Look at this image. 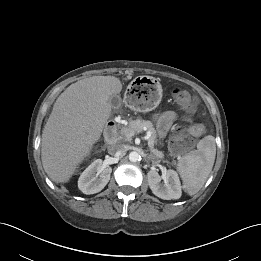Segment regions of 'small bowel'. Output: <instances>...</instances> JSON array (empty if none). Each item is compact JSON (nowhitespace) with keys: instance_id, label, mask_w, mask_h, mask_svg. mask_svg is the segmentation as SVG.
Returning a JSON list of instances; mask_svg holds the SVG:
<instances>
[{"instance_id":"small-bowel-1","label":"small bowel","mask_w":261,"mask_h":261,"mask_svg":"<svg viewBox=\"0 0 261 261\" xmlns=\"http://www.w3.org/2000/svg\"><path fill=\"white\" fill-rule=\"evenodd\" d=\"M179 118V115L174 111H164L158 115L157 127L161 137H164L169 131L172 123ZM197 130L194 132L196 136L202 135L204 129L200 125H196Z\"/></svg>"}]
</instances>
